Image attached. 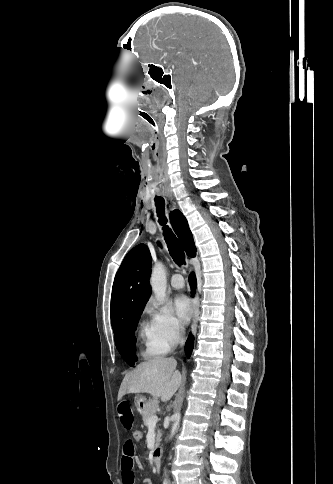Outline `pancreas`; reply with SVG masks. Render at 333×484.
Listing matches in <instances>:
<instances>
[{
	"label": "pancreas",
	"mask_w": 333,
	"mask_h": 484,
	"mask_svg": "<svg viewBox=\"0 0 333 484\" xmlns=\"http://www.w3.org/2000/svg\"><path fill=\"white\" fill-rule=\"evenodd\" d=\"M158 405H159V401L157 399H150V401L147 405V408L145 409V411L142 414L143 423H144L145 426L148 427V421L152 416H154L156 414L157 409H158ZM160 441H161V431L158 430L157 434H156L155 445L156 446L159 445Z\"/></svg>",
	"instance_id": "pancreas-1"
}]
</instances>
